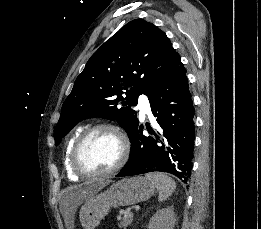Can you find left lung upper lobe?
<instances>
[{"instance_id":"obj_1","label":"left lung upper lobe","mask_w":261,"mask_h":229,"mask_svg":"<svg viewBox=\"0 0 261 229\" xmlns=\"http://www.w3.org/2000/svg\"><path fill=\"white\" fill-rule=\"evenodd\" d=\"M180 63L163 31L143 19L130 21L91 56L76 78L54 129L55 145L79 121L91 117L116 119L130 138L138 127L131 109L138 95L148 96Z\"/></svg>"}]
</instances>
